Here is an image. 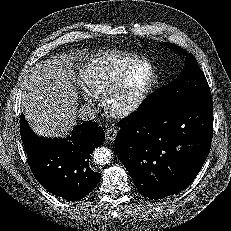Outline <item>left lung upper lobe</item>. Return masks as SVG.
<instances>
[{
    "label": "left lung upper lobe",
    "instance_id": "1",
    "mask_svg": "<svg viewBox=\"0 0 231 231\" xmlns=\"http://www.w3.org/2000/svg\"><path fill=\"white\" fill-rule=\"evenodd\" d=\"M179 54L186 51L171 43H166ZM186 65L180 76L172 83L154 92L141 105V109L149 114L162 112L177 104L194 99L211 98V92L206 77L200 69L196 58L187 54Z\"/></svg>",
    "mask_w": 231,
    "mask_h": 231
}]
</instances>
